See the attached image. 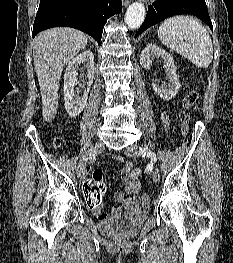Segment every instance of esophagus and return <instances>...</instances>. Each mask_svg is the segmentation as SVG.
Listing matches in <instances>:
<instances>
[{
    "label": "esophagus",
    "instance_id": "1",
    "mask_svg": "<svg viewBox=\"0 0 233 263\" xmlns=\"http://www.w3.org/2000/svg\"><path fill=\"white\" fill-rule=\"evenodd\" d=\"M122 4L124 7H127L129 5V0H122Z\"/></svg>",
    "mask_w": 233,
    "mask_h": 263
}]
</instances>
